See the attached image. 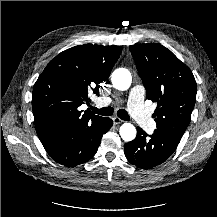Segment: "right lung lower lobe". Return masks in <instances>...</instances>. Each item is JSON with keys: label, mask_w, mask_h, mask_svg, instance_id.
Segmentation results:
<instances>
[{"label": "right lung lower lobe", "mask_w": 217, "mask_h": 217, "mask_svg": "<svg viewBox=\"0 0 217 217\" xmlns=\"http://www.w3.org/2000/svg\"><path fill=\"white\" fill-rule=\"evenodd\" d=\"M113 125L110 118L102 117L78 134L44 144L47 153L59 164L74 167L92 158L97 152L102 135Z\"/></svg>", "instance_id": "right-lung-lower-lobe-1"}]
</instances>
